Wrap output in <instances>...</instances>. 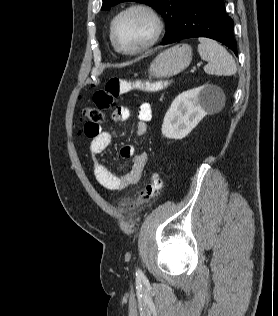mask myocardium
Instances as JSON below:
<instances>
[{
    "instance_id": "myocardium-1",
    "label": "myocardium",
    "mask_w": 278,
    "mask_h": 316,
    "mask_svg": "<svg viewBox=\"0 0 278 316\" xmlns=\"http://www.w3.org/2000/svg\"><path fill=\"white\" fill-rule=\"evenodd\" d=\"M131 13H142L146 15L152 23V32H151L150 37L141 45L133 49H123L122 47L118 45L116 41L115 28H116V24L121 18ZM163 28H164V24H163L162 18L152 6L146 3H141V2L133 3L121 9L113 17L110 24V40L115 50L118 51L119 53L124 54V55H136L152 47L159 40L163 32Z\"/></svg>"
}]
</instances>
